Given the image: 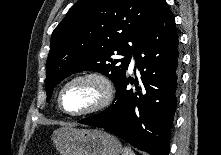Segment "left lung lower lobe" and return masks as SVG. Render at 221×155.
<instances>
[{"label": "left lung lower lobe", "mask_w": 221, "mask_h": 155, "mask_svg": "<svg viewBox=\"0 0 221 155\" xmlns=\"http://www.w3.org/2000/svg\"><path fill=\"white\" fill-rule=\"evenodd\" d=\"M178 35L165 2L140 37L134 58L141 78L127 90L126 76L116 87L112 105L79 121L105 128L150 155H168L179 79Z\"/></svg>", "instance_id": "left-lung-lower-lobe-1"}]
</instances>
